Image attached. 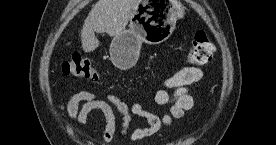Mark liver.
<instances>
[{
    "label": "liver",
    "instance_id": "liver-1",
    "mask_svg": "<svg viewBox=\"0 0 276 145\" xmlns=\"http://www.w3.org/2000/svg\"><path fill=\"white\" fill-rule=\"evenodd\" d=\"M138 3L139 0H98L81 29L83 50L91 52L99 46L95 32L110 36L122 33Z\"/></svg>",
    "mask_w": 276,
    "mask_h": 145
}]
</instances>
